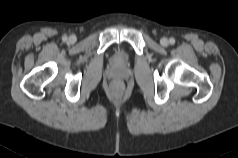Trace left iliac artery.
<instances>
[{
	"instance_id": "1",
	"label": "left iliac artery",
	"mask_w": 238,
	"mask_h": 158,
	"mask_svg": "<svg viewBox=\"0 0 238 158\" xmlns=\"http://www.w3.org/2000/svg\"><path fill=\"white\" fill-rule=\"evenodd\" d=\"M169 42H170V44L173 45V44H175V39H174V38H170V39H169Z\"/></svg>"
}]
</instances>
